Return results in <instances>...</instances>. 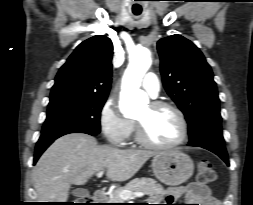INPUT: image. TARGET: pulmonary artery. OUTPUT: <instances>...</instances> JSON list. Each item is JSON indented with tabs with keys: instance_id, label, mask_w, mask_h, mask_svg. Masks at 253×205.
Instances as JSON below:
<instances>
[{
	"instance_id": "pulmonary-artery-1",
	"label": "pulmonary artery",
	"mask_w": 253,
	"mask_h": 205,
	"mask_svg": "<svg viewBox=\"0 0 253 205\" xmlns=\"http://www.w3.org/2000/svg\"><path fill=\"white\" fill-rule=\"evenodd\" d=\"M142 87L151 97L154 98L160 91V81L154 73H148L143 79Z\"/></svg>"
}]
</instances>
